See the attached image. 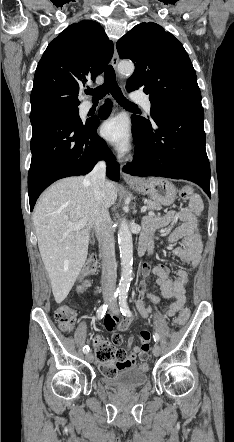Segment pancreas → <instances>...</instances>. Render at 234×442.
<instances>
[{
  "instance_id": "cf45deb5",
  "label": "pancreas",
  "mask_w": 234,
  "mask_h": 442,
  "mask_svg": "<svg viewBox=\"0 0 234 442\" xmlns=\"http://www.w3.org/2000/svg\"><path fill=\"white\" fill-rule=\"evenodd\" d=\"M146 207L148 210H161L162 206L159 202L153 201V200H147L146 201Z\"/></svg>"
}]
</instances>
